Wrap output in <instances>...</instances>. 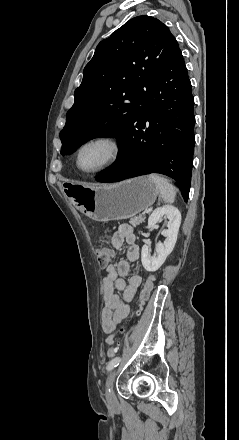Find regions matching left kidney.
<instances>
[{
    "instance_id": "1",
    "label": "left kidney",
    "mask_w": 239,
    "mask_h": 440,
    "mask_svg": "<svg viewBox=\"0 0 239 440\" xmlns=\"http://www.w3.org/2000/svg\"><path fill=\"white\" fill-rule=\"evenodd\" d=\"M163 218L164 220H169L168 230H163L162 232V236H165L166 240H164L163 244H157L154 256H151L148 244H145L141 250V262L146 272H156V270H159L176 244L181 224V214L174 206L156 208L148 218V228L156 226Z\"/></svg>"
}]
</instances>
